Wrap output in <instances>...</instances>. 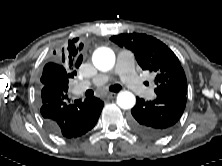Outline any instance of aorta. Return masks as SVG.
<instances>
[{"mask_svg": "<svg viewBox=\"0 0 222 166\" xmlns=\"http://www.w3.org/2000/svg\"><path fill=\"white\" fill-rule=\"evenodd\" d=\"M93 64L101 71H109L115 64V54L107 47L98 48L93 54ZM136 103L135 96L129 91H122L117 96V104L122 109H130Z\"/></svg>", "mask_w": 222, "mask_h": 166, "instance_id": "762f6f07", "label": "aorta"}]
</instances>
